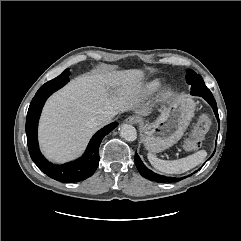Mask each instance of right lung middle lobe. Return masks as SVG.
I'll use <instances>...</instances> for the list:
<instances>
[{
	"instance_id": "right-lung-middle-lobe-1",
	"label": "right lung middle lobe",
	"mask_w": 241,
	"mask_h": 241,
	"mask_svg": "<svg viewBox=\"0 0 241 241\" xmlns=\"http://www.w3.org/2000/svg\"><path fill=\"white\" fill-rule=\"evenodd\" d=\"M69 69H66L55 79L48 81L37 91L36 95H43L47 93H53L56 90L63 87L69 81Z\"/></svg>"
}]
</instances>
